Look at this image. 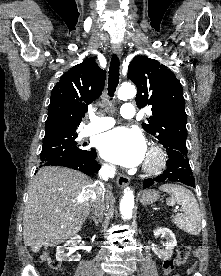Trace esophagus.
<instances>
[{
	"instance_id": "1",
	"label": "esophagus",
	"mask_w": 221,
	"mask_h": 276,
	"mask_svg": "<svg viewBox=\"0 0 221 276\" xmlns=\"http://www.w3.org/2000/svg\"><path fill=\"white\" fill-rule=\"evenodd\" d=\"M112 52L118 56H121L122 49H121L120 44H113ZM116 183H117L118 187L124 188V187L128 186V184L130 183V178L125 175H119L117 177Z\"/></svg>"
}]
</instances>
